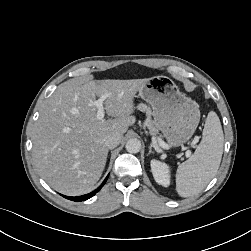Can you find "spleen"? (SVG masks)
I'll return each mask as SVG.
<instances>
[{"instance_id": "obj_1", "label": "spleen", "mask_w": 251, "mask_h": 251, "mask_svg": "<svg viewBox=\"0 0 251 251\" xmlns=\"http://www.w3.org/2000/svg\"><path fill=\"white\" fill-rule=\"evenodd\" d=\"M224 135L214 111L207 115L203 137L194 154L178 166L176 190L181 197L199 194L215 176L223 154Z\"/></svg>"}]
</instances>
